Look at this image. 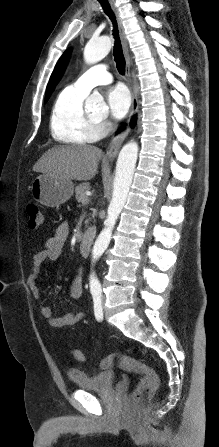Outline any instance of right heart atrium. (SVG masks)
Returning <instances> with one entry per match:
<instances>
[{
	"instance_id": "obj_1",
	"label": "right heart atrium",
	"mask_w": 219,
	"mask_h": 447,
	"mask_svg": "<svg viewBox=\"0 0 219 447\" xmlns=\"http://www.w3.org/2000/svg\"><path fill=\"white\" fill-rule=\"evenodd\" d=\"M98 128L101 133H105L107 130L110 129V125L108 123L102 122L98 125Z\"/></svg>"
}]
</instances>
